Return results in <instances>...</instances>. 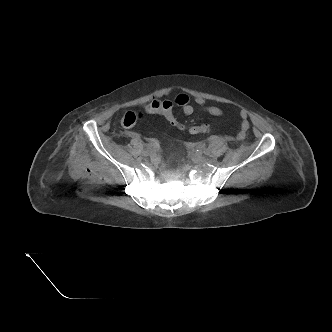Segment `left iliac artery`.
I'll use <instances>...</instances> for the list:
<instances>
[{"label": "left iliac artery", "instance_id": "obj_1", "mask_svg": "<svg viewBox=\"0 0 332 332\" xmlns=\"http://www.w3.org/2000/svg\"><path fill=\"white\" fill-rule=\"evenodd\" d=\"M197 153H198L199 155H202V154L209 155V154H210L209 151H208L207 149H198V150H197Z\"/></svg>", "mask_w": 332, "mask_h": 332}]
</instances>
